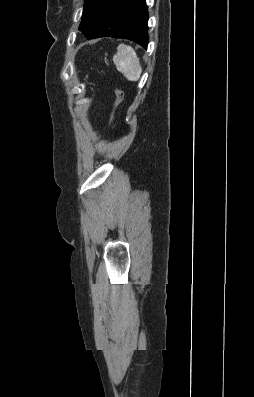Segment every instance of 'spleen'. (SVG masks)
Listing matches in <instances>:
<instances>
[{"label":"spleen","mask_w":254,"mask_h":397,"mask_svg":"<svg viewBox=\"0 0 254 397\" xmlns=\"http://www.w3.org/2000/svg\"><path fill=\"white\" fill-rule=\"evenodd\" d=\"M113 62L117 70L129 81H138L142 73L140 59L134 49L125 44H120L117 53L113 56Z\"/></svg>","instance_id":"obj_1"}]
</instances>
